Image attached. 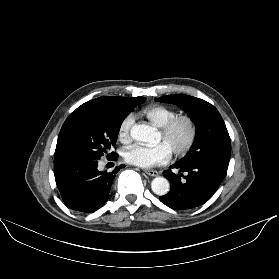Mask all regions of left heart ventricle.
I'll list each match as a JSON object with an SVG mask.
<instances>
[{"label":"left heart ventricle","mask_w":279,"mask_h":279,"mask_svg":"<svg viewBox=\"0 0 279 279\" xmlns=\"http://www.w3.org/2000/svg\"><path fill=\"white\" fill-rule=\"evenodd\" d=\"M189 134V126L185 121L179 122L171 134L164 138L161 133H159V141H162L172 152L173 150L180 149L186 142Z\"/></svg>","instance_id":"1"}]
</instances>
